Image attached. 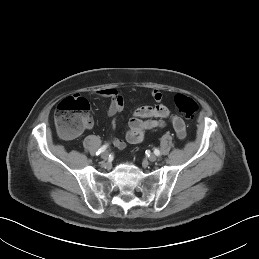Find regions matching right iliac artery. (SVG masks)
<instances>
[{"instance_id": "82829eb1", "label": "right iliac artery", "mask_w": 259, "mask_h": 259, "mask_svg": "<svg viewBox=\"0 0 259 259\" xmlns=\"http://www.w3.org/2000/svg\"><path fill=\"white\" fill-rule=\"evenodd\" d=\"M106 148H107V145H103L101 148L98 149V151L96 152V155H99L100 153L105 151Z\"/></svg>"}]
</instances>
